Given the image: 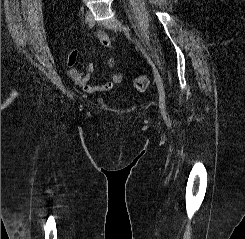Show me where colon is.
I'll use <instances>...</instances> for the list:
<instances>
[{
    "label": "colon",
    "instance_id": "colon-1",
    "mask_svg": "<svg viewBox=\"0 0 245 239\" xmlns=\"http://www.w3.org/2000/svg\"><path fill=\"white\" fill-rule=\"evenodd\" d=\"M150 77L147 75H140L134 81V86L138 91H145L150 85Z\"/></svg>",
    "mask_w": 245,
    "mask_h": 239
}]
</instances>
